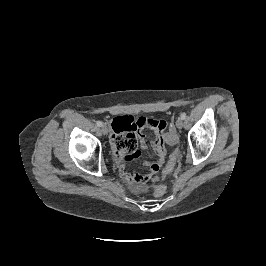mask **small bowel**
Wrapping results in <instances>:
<instances>
[{"label": "small bowel", "mask_w": 266, "mask_h": 266, "mask_svg": "<svg viewBox=\"0 0 266 266\" xmlns=\"http://www.w3.org/2000/svg\"><path fill=\"white\" fill-rule=\"evenodd\" d=\"M111 143L118 160L120 175L123 181L134 192H141L145 188V182L159 171L165 162L167 154L166 143L171 144L167 124L162 119L134 118L133 116H117L111 121ZM152 128L156 133V139L152 143L157 159L148 162V173H130L128 165L141 157L140 149L146 147L143 130Z\"/></svg>", "instance_id": "obj_1"}]
</instances>
